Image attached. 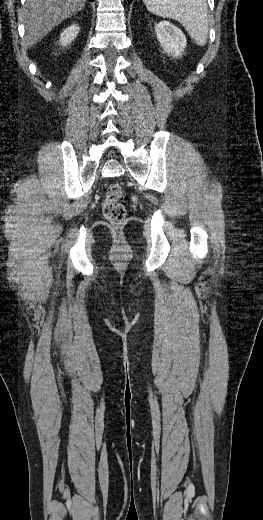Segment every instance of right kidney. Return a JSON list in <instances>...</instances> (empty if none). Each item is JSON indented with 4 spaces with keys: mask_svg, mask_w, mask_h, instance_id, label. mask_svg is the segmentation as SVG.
I'll use <instances>...</instances> for the list:
<instances>
[{
    "mask_svg": "<svg viewBox=\"0 0 263 520\" xmlns=\"http://www.w3.org/2000/svg\"><path fill=\"white\" fill-rule=\"evenodd\" d=\"M79 31L80 28L76 24H73L64 29V31L60 34V45L67 47V45H69L77 37Z\"/></svg>",
    "mask_w": 263,
    "mask_h": 520,
    "instance_id": "ca27d5eb",
    "label": "right kidney"
}]
</instances>
